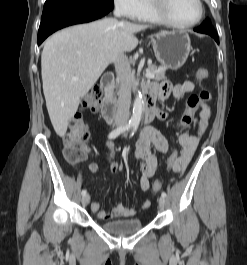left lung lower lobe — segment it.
Returning <instances> with one entry per match:
<instances>
[{
    "label": "left lung lower lobe",
    "mask_w": 247,
    "mask_h": 265,
    "mask_svg": "<svg viewBox=\"0 0 247 265\" xmlns=\"http://www.w3.org/2000/svg\"><path fill=\"white\" fill-rule=\"evenodd\" d=\"M194 31L209 34L215 39L217 43H219L218 35L214 28L211 26L210 21L208 19L198 28H195Z\"/></svg>",
    "instance_id": "obj_1"
}]
</instances>
